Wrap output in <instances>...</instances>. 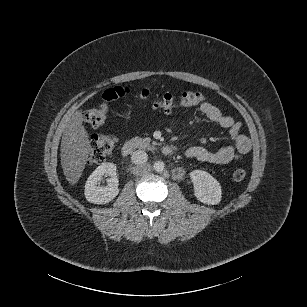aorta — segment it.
Segmentation results:
<instances>
[{
	"label": "aorta",
	"mask_w": 307,
	"mask_h": 307,
	"mask_svg": "<svg viewBox=\"0 0 307 307\" xmlns=\"http://www.w3.org/2000/svg\"><path fill=\"white\" fill-rule=\"evenodd\" d=\"M153 167L155 171L161 172L164 170L165 164L162 161H157L154 163Z\"/></svg>",
	"instance_id": "762f6f07"
}]
</instances>
